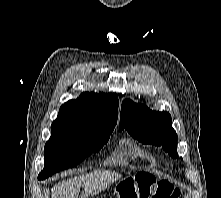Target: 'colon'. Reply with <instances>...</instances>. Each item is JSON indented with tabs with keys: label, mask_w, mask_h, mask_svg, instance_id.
Returning <instances> with one entry per match:
<instances>
[{
	"label": "colon",
	"mask_w": 221,
	"mask_h": 198,
	"mask_svg": "<svg viewBox=\"0 0 221 198\" xmlns=\"http://www.w3.org/2000/svg\"><path fill=\"white\" fill-rule=\"evenodd\" d=\"M180 191L166 180L158 181L149 173H139L122 181L114 198H179Z\"/></svg>",
	"instance_id": "1"
}]
</instances>
